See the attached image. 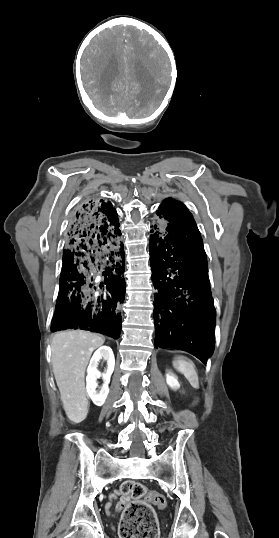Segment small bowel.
<instances>
[{
    "label": "small bowel",
    "mask_w": 279,
    "mask_h": 538,
    "mask_svg": "<svg viewBox=\"0 0 279 538\" xmlns=\"http://www.w3.org/2000/svg\"><path fill=\"white\" fill-rule=\"evenodd\" d=\"M114 500H117V504L113 508L112 507V502ZM124 502H125V500L123 498H120L119 492H114L110 497V501L106 504V507H105L107 515L108 516H114V515L120 513L123 506H124Z\"/></svg>",
    "instance_id": "small-bowel-1"
}]
</instances>
